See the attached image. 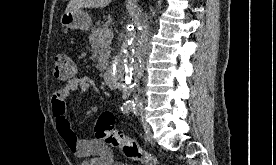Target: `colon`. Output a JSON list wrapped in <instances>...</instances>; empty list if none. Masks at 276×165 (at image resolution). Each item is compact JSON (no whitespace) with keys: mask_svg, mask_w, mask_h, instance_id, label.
I'll use <instances>...</instances> for the list:
<instances>
[{"mask_svg":"<svg viewBox=\"0 0 276 165\" xmlns=\"http://www.w3.org/2000/svg\"><path fill=\"white\" fill-rule=\"evenodd\" d=\"M54 73L57 79L67 81L74 77L75 66L69 55L60 53L55 57ZM115 118L109 111L102 112L94 127L96 137L108 146L118 148L129 159L145 165H158V159L142 149L135 140L118 131L114 126Z\"/></svg>","mask_w":276,"mask_h":165,"instance_id":"5ec220e1","label":"colon"}]
</instances>
